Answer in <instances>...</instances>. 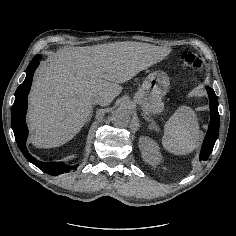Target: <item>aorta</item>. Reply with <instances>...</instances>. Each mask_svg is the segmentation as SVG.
Instances as JSON below:
<instances>
[{"instance_id":"762f6f07","label":"aorta","mask_w":236,"mask_h":236,"mask_svg":"<svg viewBox=\"0 0 236 236\" xmlns=\"http://www.w3.org/2000/svg\"><path fill=\"white\" fill-rule=\"evenodd\" d=\"M111 120L116 127H126L130 122V115L127 110L118 108L113 111Z\"/></svg>"}]
</instances>
